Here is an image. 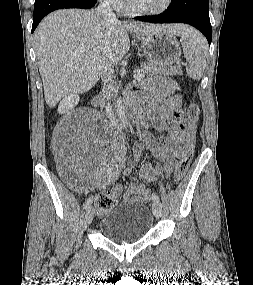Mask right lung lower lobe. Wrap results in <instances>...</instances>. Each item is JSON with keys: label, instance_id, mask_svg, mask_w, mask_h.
Listing matches in <instances>:
<instances>
[{"label": "right lung lower lobe", "instance_id": "obj_1", "mask_svg": "<svg viewBox=\"0 0 253 285\" xmlns=\"http://www.w3.org/2000/svg\"><path fill=\"white\" fill-rule=\"evenodd\" d=\"M97 0H35L32 33L39 22L50 12L62 8L88 9L96 4Z\"/></svg>", "mask_w": 253, "mask_h": 285}]
</instances>
